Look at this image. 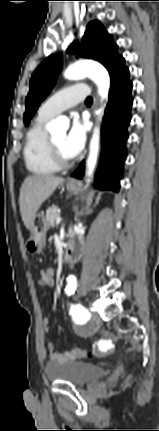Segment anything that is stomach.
I'll list each match as a JSON object with an SVG mask.
<instances>
[{
  "instance_id": "0dacf381",
  "label": "stomach",
  "mask_w": 159,
  "mask_h": 431,
  "mask_svg": "<svg viewBox=\"0 0 159 431\" xmlns=\"http://www.w3.org/2000/svg\"><path fill=\"white\" fill-rule=\"evenodd\" d=\"M66 188L70 193L78 191V184H67ZM30 237L26 242V250L29 253H40L45 247L47 222L42 213L35 214L29 228Z\"/></svg>"
}]
</instances>
